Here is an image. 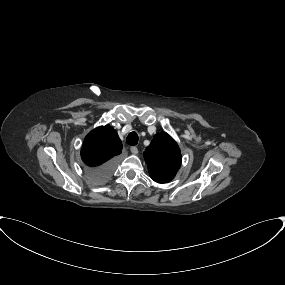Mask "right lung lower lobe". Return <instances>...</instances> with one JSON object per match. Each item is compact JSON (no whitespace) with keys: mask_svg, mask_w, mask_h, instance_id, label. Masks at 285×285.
I'll use <instances>...</instances> for the list:
<instances>
[{"mask_svg":"<svg viewBox=\"0 0 285 285\" xmlns=\"http://www.w3.org/2000/svg\"><path fill=\"white\" fill-rule=\"evenodd\" d=\"M116 166V159H111L103 165L89 170V176L95 183L106 181L113 173Z\"/></svg>","mask_w":285,"mask_h":285,"instance_id":"1","label":"right lung lower lobe"}]
</instances>
